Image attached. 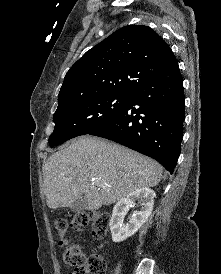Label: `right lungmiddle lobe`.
<instances>
[{"instance_id": "obj_1", "label": "right lung middle lobe", "mask_w": 221, "mask_h": 274, "mask_svg": "<svg viewBox=\"0 0 221 274\" xmlns=\"http://www.w3.org/2000/svg\"><path fill=\"white\" fill-rule=\"evenodd\" d=\"M130 97L128 94H107L58 103L50 146L100 128L118 113Z\"/></svg>"}]
</instances>
